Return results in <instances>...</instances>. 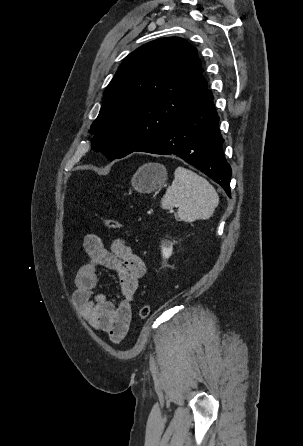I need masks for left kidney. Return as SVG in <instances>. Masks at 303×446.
Returning a JSON list of instances; mask_svg holds the SVG:
<instances>
[{
	"label": "left kidney",
	"instance_id": "1",
	"mask_svg": "<svg viewBox=\"0 0 303 446\" xmlns=\"http://www.w3.org/2000/svg\"><path fill=\"white\" fill-rule=\"evenodd\" d=\"M172 245L173 244L171 243L170 246H166L165 244L161 246V252L164 259H168L171 256L173 251Z\"/></svg>",
	"mask_w": 303,
	"mask_h": 446
}]
</instances>
